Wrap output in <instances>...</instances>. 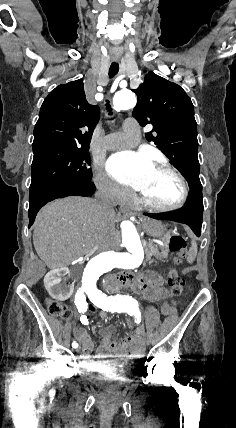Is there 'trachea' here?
Here are the masks:
<instances>
[{"mask_svg":"<svg viewBox=\"0 0 236 428\" xmlns=\"http://www.w3.org/2000/svg\"><path fill=\"white\" fill-rule=\"evenodd\" d=\"M118 71H119V65H118V63L113 62L110 65V68H109V77L113 78L115 75H117ZM106 105H107V110L109 111V114L111 115L112 114V112H111L112 109H111L110 104H109L108 101H107Z\"/></svg>","mask_w":236,"mask_h":428,"instance_id":"trachea-1","label":"trachea"}]
</instances>
